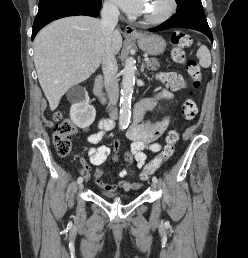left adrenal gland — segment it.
Returning <instances> with one entry per match:
<instances>
[{
    "mask_svg": "<svg viewBox=\"0 0 248 258\" xmlns=\"http://www.w3.org/2000/svg\"><path fill=\"white\" fill-rule=\"evenodd\" d=\"M144 67H145V65H144V63H142V66H141V71L142 72L144 71Z\"/></svg>",
    "mask_w": 248,
    "mask_h": 258,
    "instance_id": "left-adrenal-gland-1",
    "label": "left adrenal gland"
}]
</instances>
